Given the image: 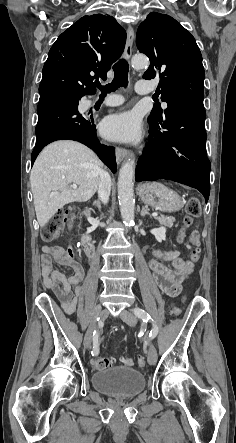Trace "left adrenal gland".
Returning a JSON list of instances; mask_svg holds the SVG:
<instances>
[{
  "label": "left adrenal gland",
  "instance_id": "a2214340",
  "mask_svg": "<svg viewBox=\"0 0 236 443\" xmlns=\"http://www.w3.org/2000/svg\"><path fill=\"white\" fill-rule=\"evenodd\" d=\"M146 215L150 216V213L144 207H142L141 216L144 217Z\"/></svg>",
  "mask_w": 236,
  "mask_h": 443
}]
</instances>
